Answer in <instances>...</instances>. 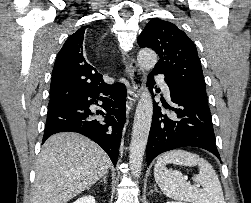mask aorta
<instances>
[{
	"mask_svg": "<svg viewBox=\"0 0 251 203\" xmlns=\"http://www.w3.org/2000/svg\"><path fill=\"white\" fill-rule=\"evenodd\" d=\"M137 60L140 66L145 70L154 68L157 63V54L151 49H142L139 51ZM153 115V102L150 92L145 88L138 101L132 137L129 148V164L132 174L139 177L143 162V156L148 141L149 131Z\"/></svg>",
	"mask_w": 251,
	"mask_h": 203,
	"instance_id": "aorta-1",
	"label": "aorta"
}]
</instances>
